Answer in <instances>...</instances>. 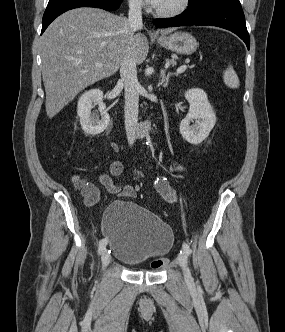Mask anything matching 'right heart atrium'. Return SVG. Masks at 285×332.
Here are the masks:
<instances>
[{
	"mask_svg": "<svg viewBox=\"0 0 285 332\" xmlns=\"http://www.w3.org/2000/svg\"><path fill=\"white\" fill-rule=\"evenodd\" d=\"M128 3L133 9H141L144 7V0H128Z\"/></svg>",
	"mask_w": 285,
	"mask_h": 332,
	"instance_id": "obj_1",
	"label": "right heart atrium"
}]
</instances>
